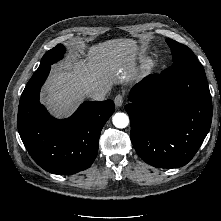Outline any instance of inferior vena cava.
I'll return each instance as SVG.
<instances>
[{
  "instance_id": "obj_1",
  "label": "inferior vena cava",
  "mask_w": 221,
  "mask_h": 221,
  "mask_svg": "<svg viewBox=\"0 0 221 221\" xmlns=\"http://www.w3.org/2000/svg\"><path fill=\"white\" fill-rule=\"evenodd\" d=\"M109 88L100 87L88 93V96L95 101H103L109 94Z\"/></svg>"
}]
</instances>
